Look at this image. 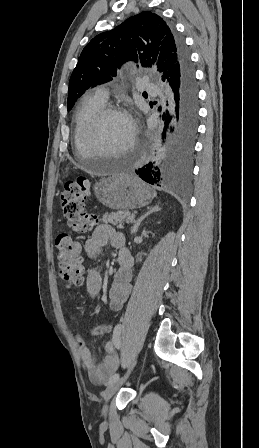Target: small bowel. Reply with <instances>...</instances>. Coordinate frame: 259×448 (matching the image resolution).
<instances>
[{
	"mask_svg": "<svg viewBox=\"0 0 259 448\" xmlns=\"http://www.w3.org/2000/svg\"><path fill=\"white\" fill-rule=\"evenodd\" d=\"M110 240L113 247L118 249L119 267L116 270L111 288L109 290V307L112 311H118L128 299L131 292L132 267L134 259L130 254L126 240L123 234L116 232L107 224L99 225L93 232L92 236L84 245L85 257L87 260H95L103 251L107 241ZM86 291L92 298L96 297L102 286L101 275L97 268L88 267L85 270ZM112 326L102 323L97 325L94 335H104L111 332ZM76 341L80 346V358L88 370L89 378L94 383H102L118 368V358L113 351L112 344H105L106 356L101 363L97 362V357L91 352L86 345V339L76 334Z\"/></svg>",
	"mask_w": 259,
	"mask_h": 448,
	"instance_id": "obj_1",
	"label": "small bowel"
}]
</instances>
